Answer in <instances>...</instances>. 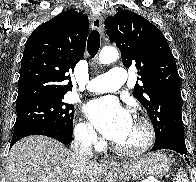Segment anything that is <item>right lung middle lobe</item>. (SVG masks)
Returning <instances> with one entry per match:
<instances>
[{
    "mask_svg": "<svg viewBox=\"0 0 196 182\" xmlns=\"http://www.w3.org/2000/svg\"><path fill=\"white\" fill-rule=\"evenodd\" d=\"M63 99L64 96L43 97L17 104L14 132L31 126L49 125L72 133L74 106Z\"/></svg>",
    "mask_w": 196,
    "mask_h": 182,
    "instance_id": "obj_1",
    "label": "right lung middle lobe"
}]
</instances>
